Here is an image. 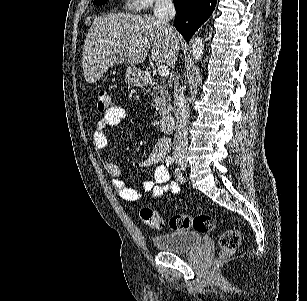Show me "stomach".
<instances>
[{"label": "stomach", "mask_w": 307, "mask_h": 301, "mask_svg": "<svg viewBox=\"0 0 307 301\" xmlns=\"http://www.w3.org/2000/svg\"><path fill=\"white\" fill-rule=\"evenodd\" d=\"M125 80L131 86H143L145 82L144 72L134 64H128L125 72Z\"/></svg>", "instance_id": "0dacf381"}]
</instances>
